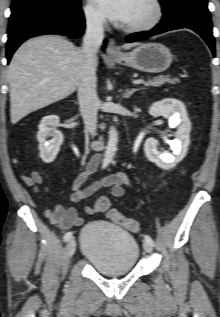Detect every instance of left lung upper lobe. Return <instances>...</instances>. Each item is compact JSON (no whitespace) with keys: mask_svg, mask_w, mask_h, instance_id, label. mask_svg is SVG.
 <instances>
[{"mask_svg":"<svg viewBox=\"0 0 220 317\" xmlns=\"http://www.w3.org/2000/svg\"><path fill=\"white\" fill-rule=\"evenodd\" d=\"M175 1L176 0H160L163 8L171 6Z\"/></svg>","mask_w":220,"mask_h":317,"instance_id":"5c2ea615","label":"left lung upper lobe"}]
</instances>
